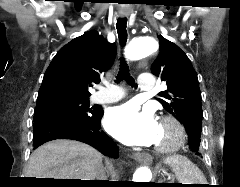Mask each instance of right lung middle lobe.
<instances>
[{"label":"right lung middle lobe","instance_id":"right-lung-middle-lobe-1","mask_svg":"<svg viewBox=\"0 0 240 187\" xmlns=\"http://www.w3.org/2000/svg\"><path fill=\"white\" fill-rule=\"evenodd\" d=\"M88 98L59 99L37 105L34 111V123L50 116H62L73 121H89L99 110L90 106Z\"/></svg>","mask_w":240,"mask_h":187}]
</instances>
